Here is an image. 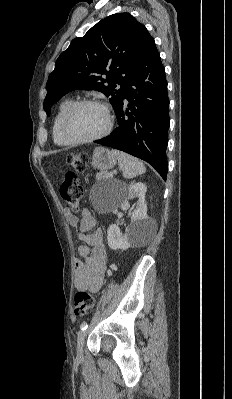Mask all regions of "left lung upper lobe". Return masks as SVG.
<instances>
[{
    "label": "left lung upper lobe",
    "mask_w": 232,
    "mask_h": 399,
    "mask_svg": "<svg viewBox=\"0 0 232 399\" xmlns=\"http://www.w3.org/2000/svg\"><path fill=\"white\" fill-rule=\"evenodd\" d=\"M152 39L146 27L129 13L110 15L83 37L73 39L48 77L43 103L47 115L54 103L76 89L104 93L116 112L126 83ZM117 85L121 87L116 89Z\"/></svg>",
    "instance_id": "obj_1"
}]
</instances>
